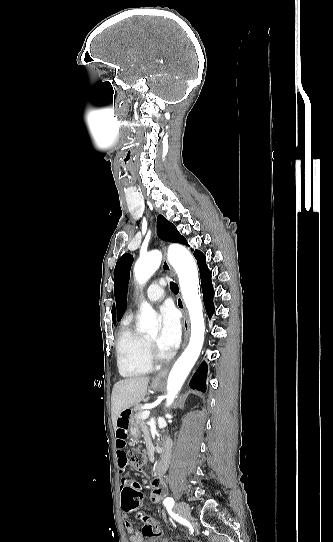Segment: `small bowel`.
Masks as SVG:
<instances>
[{
    "label": "small bowel",
    "mask_w": 333,
    "mask_h": 542,
    "mask_svg": "<svg viewBox=\"0 0 333 542\" xmlns=\"http://www.w3.org/2000/svg\"><path fill=\"white\" fill-rule=\"evenodd\" d=\"M121 415L117 419L115 427V443L117 449L118 465L121 472H125L127 467V455L125 453V448L127 447V437L129 430V415L131 410L129 407L124 406L120 410ZM131 483L126 477L121 478V496L122 500L124 497H131L130 490ZM150 494L149 499L152 503H159L163 499L166 492V483L163 476H158L157 474L152 478L150 483ZM126 519L129 517L127 514L124 516ZM151 524L155 526L158 530V536L162 535V531L156 525L154 520H151ZM124 527L126 531L130 534V542H143V534L136 530L133 526V523L129 520L124 522ZM154 538V537H152Z\"/></svg>",
    "instance_id": "small-bowel-1"
}]
</instances>
